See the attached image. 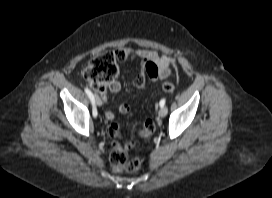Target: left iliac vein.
Returning <instances> with one entry per match:
<instances>
[{"label": "left iliac vein", "mask_w": 272, "mask_h": 198, "mask_svg": "<svg viewBox=\"0 0 272 198\" xmlns=\"http://www.w3.org/2000/svg\"><path fill=\"white\" fill-rule=\"evenodd\" d=\"M167 112H168L167 107H161L159 112H158V115H159V117L163 118V117L166 116Z\"/></svg>", "instance_id": "left-iliac-vein-1"}]
</instances>
